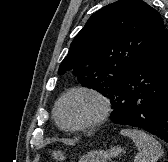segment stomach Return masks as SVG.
<instances>
[{
    "mask_svg": "<svg viewBox=\"0 0 168 162\" xmlns=\"http://www.w3.org/2000/svg\"><path fill=\"white\" fill-rule=\"evenodd\" d=\"M123 149L120 146H113L109 150H93L82 156L79 162H107L111 158L121 154Z\"/></svg>",
    "mask_w": 168,
    "mask_h": 162,
    "instance_id": "0dacf381",
    "label": "stomach"
}]
</instances>
